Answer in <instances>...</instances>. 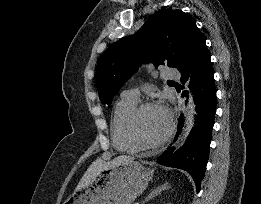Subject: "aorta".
Here are the masks:
<instances>
[{
  "label": "aorta",
  "mask_w": 261,
  "mask_h": 204,
  "mask_svg": "<svg viewBox=\"0 0 261 204\" xmlns=\"http://www.w3.org/2000/svg\"><path fill=\"white\" fill-rule=\"evenodd\" d=\"M189 100H188V114L185 120V124H184V129L182 132V139H181V145H183L185 143V141L187 140V137L189 136V133L191 131V129L194 126V118H195V104L193 101V95L190 93L189 94Z\"/></svg>",
  "instance_id": "1"
}]
</instances>
